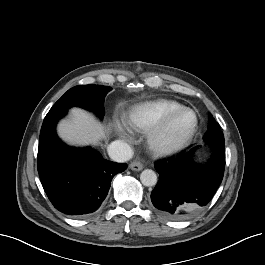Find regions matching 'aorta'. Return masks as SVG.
Returning <instances> with one entry per match:
<instances>
[{"mask_svg": "<svg viewBox=\"0 0 265 265\" xmlns=\"http://www.w3.org/2000/svg\"><path fill=\"white\" fill-rule=\"evenodd\" d=\"M140 180L144 186H155L157 183V175L153 170L145 169L140 174Z\"/></svg>", "mask_w": 265, "mask_h": 265, "instance_id": "1", "label": "aorta"}]
</instances>
